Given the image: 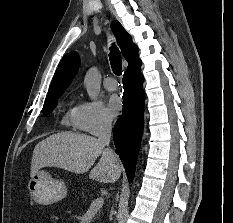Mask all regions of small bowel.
Instances as JSON below:
<instances>
[{
    "label": "small bowel",
    "instance_id": "c3829d8e",
    "mask_svg": "<svg viewBox=\"0 0 233 223\" xmlns=\"http://www.w3.org/2000/svg\"><path fill=\"white\" fill-rule=\"evenodd\" d=\"M82 223H88V218L87 217H83Z\"/></svg>",
    "mask_w": 233,
    "mask_h": 223
}]
</instances>
